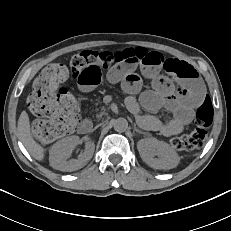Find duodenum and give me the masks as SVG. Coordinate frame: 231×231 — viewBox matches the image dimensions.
<instances>
[{
    "instance_id": "1",
    "label": "duodenum",
    "mask_w": 231,
    "mask_h": 231,
    "mask_svg": "<svg viewBox=\"0 0 231 231\" xmlns=\"http://www.w3.org/2000/svg\"><path fill=\"white\" fill-rule=\"evenodd\" d=\"M92 129V122L90 120H84L78 127V132L80 134H88Z\"/></svg>"
}]
</instances>
